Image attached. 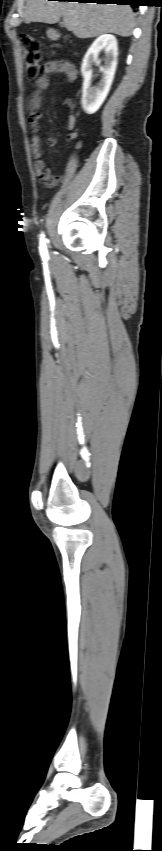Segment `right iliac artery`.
Segmentation results:
<instances>
[{
  "instance_id": "82829eb1",
  "label": "right iliac artery",
  "mask_w": 162,
  "mask_h": 851,
  "mask_svg": "<svg viewBox=\"0 0 162 851\" xmlns=\"http://www.w3.org/2000/svg\"><path fill=\"white\" fill-rule=\"evenodd\" d=\"M39 250H40L41 256L43 258H47L48 251H47L46 244H45V234L44 233L41 234Z\"/></svg>"
}]
</instances>
